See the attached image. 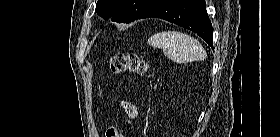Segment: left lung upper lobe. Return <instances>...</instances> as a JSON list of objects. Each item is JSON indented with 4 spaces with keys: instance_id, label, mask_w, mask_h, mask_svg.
I'll list each match as a JSON object with an SVG mask.
<instances>
[{
    "instance_id": "left-lung-upper-lobe-1",
    "label": "left lung upper lobe",
    "mask_w": 280,
    "mask_h": 137,
    "mask_svg": "<svg viewBox=\"0 0 280 137\" xmlns=\"http://www.w3.org/2000/svg\"><path fill=\"white\" fill-rule=\"evenodd\" d=\"M160 0H98L95 12L104 19L130 23L141 18Z\"/></svg>"
}]
</instances>
